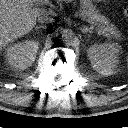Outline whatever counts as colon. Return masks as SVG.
Here are the masks:
<instances>
[{
    "label": "colon",
    "mask_w": 128,
    "mask_h": 128,
    "mask_svg": "<svg viewBox=\"0 0 128 128\" xmlns=\"http://www.w3.org/2000/svg\"><path fill=\"white\" fill-rule=\"evenodd\" d=\"M124 14H125L126 18L128 19V2H126L124 5Z\"/></svg>",
    "instance_id": "1"
}]
</instances>
